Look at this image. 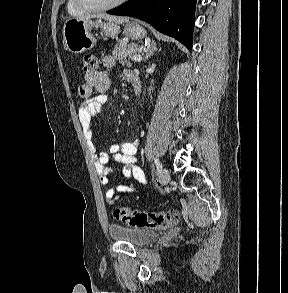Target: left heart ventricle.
Masks as SVG:
<instances>
[{
	"instance_id": "left-heart-ventricle-1",
	"label": "left heart ventricle",
	"mask_w": 288,
	"mask_h": 293,
	"mask_svg": "<svg viewBox=\"0 0 288 293\" xmlns=\"http://www.w3.org/2000/svg\"><path fill=\"white\" fill-rule=\"evenodd\" d=\"M85 1L93 5H103V4L112 3L116 0H85Z\"/></svg>"
}]
</instances>
